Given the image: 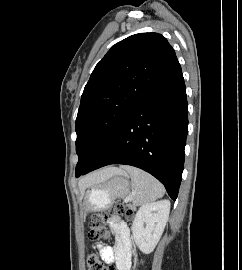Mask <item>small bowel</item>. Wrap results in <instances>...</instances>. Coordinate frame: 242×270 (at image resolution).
Listing matches in <instances>:
<instances>
[{"mask_svg": "<svg viewBox=\"0 0 242 270\" xmlns=\"http://www.w3.org/2000/svg\"><path fill=\"white\" fill-rule=\"evenodd\" d=\"M109 227L115 237V245L114 247L97 245L100 256L107 264L115 263L119 270H130L132 251L129 227L117 216L109 220Z\"/></svg>", "mask_w": 242, "mask_h": 270, "instance_id": "c3829d8e", "label": "small bowel"}]
</instances>
